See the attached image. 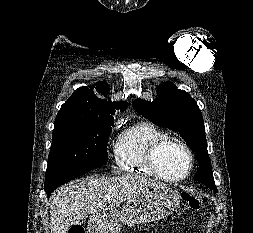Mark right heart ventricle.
<instances>
[{
    "label": "right heart ventricle",
    "mask_w": 253,
    "mask_h": 233,
    "mask_svg": "<svg viewBox=\"0 0 253 233\" xmlns=\"http://www.w3.org/2000/svg\"><path fill=\"white\" fill-rule=\"evenodd\" d=\"M168 137L156 124L142 121L124 130L114 146L116 166L124 172L156 177L147 163L153 143Z\"/></svg>",
    "instance_id": "1"
}]
</instances>
